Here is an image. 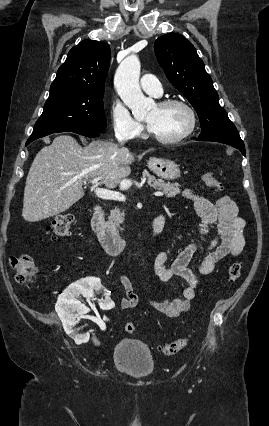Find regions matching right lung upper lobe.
Returning <instances> with one entry per match:
<instances>
[{"label":"right lung upper lobe","mask_w":269,"mask_h":426,"mask_svg":"<svg viewBox=\"0 0 269 426\" xmlns=\"http://www.w3.org/2000/svg\"><path fill=\"white\" fill-rule=\"evenodd\" d=\"M109 62L107 43L81 41L69 51L66 61L58 69L50 93L67 91L103 95Z\"/></svg>","instance_id":"1"}]
</instances>
